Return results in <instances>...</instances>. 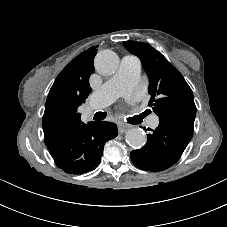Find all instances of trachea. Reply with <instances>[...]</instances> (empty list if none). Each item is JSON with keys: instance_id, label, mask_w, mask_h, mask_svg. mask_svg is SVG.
<instances>
[{"instance_id": "1", "label": "trachea", "mask_w": 227, "mask_h": 227, "mask_svg": "<svg viewBox=\"0 0 227 227\" xmlns=\"http://www.w3.org/2000/svg\"><path fill=\"white\" fill-rule=\"evenodd\" d=\"M105 113L103 112H97L94 116L95 120H103L105 118Z\"/></svg>"}]
</instances>
